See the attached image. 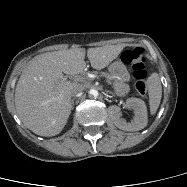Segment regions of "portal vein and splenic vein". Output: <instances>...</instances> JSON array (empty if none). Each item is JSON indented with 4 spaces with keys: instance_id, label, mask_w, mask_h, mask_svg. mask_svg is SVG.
I'll return each mask as SVG.
<instances>
[{
    "instance_id": "obj_1",
    "label": "portal vein and splenic vein",
    "mask_w": 187,
    "mask_h": 187,
    "mask_svg": "<svg viewBox=\"0 0 187 187\" xmlns=\"http://www.w3.org/2000/svg\"><path fill=\"white\" fill-rule=\"evenodd\" d=\"M76 80L80 79L79 77H75ZM108 84H111L110 81L106 80Z\"/></svg>"
}]
</instances>
